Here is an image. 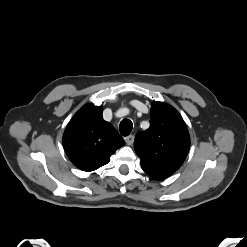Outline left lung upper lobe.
<instances>
[{
	"mask_svg": "<svg viewBox=\"0 0 247 247\" xmlns=\"http://www.w3.org/2000/svg\"><path fill=\"white\" fill-rule=\"evenodd\" d=\"M150 127L135 137L134 147L142 169L156 180H164L184 162L190 136L178 111L169 104L152 102Z\"/></svg>",
	"mask_w": 247,
	"mask_h": 247,
	"instance_id": "5c2ea615",
	"label": "left lung upper lobe"
}]
</instances>
